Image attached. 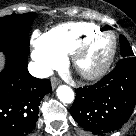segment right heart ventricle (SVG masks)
Instances as JSON below:
<instances>
[{"mask_svg": "<svg viewBox=\"0 0 136 136\" xmlns=\"http://www.w3.org/2000/svg\"><path fill=\"white\" fill-rule=\"evenodd\" d=\"M101 28L89 22H70L56 26L43 34L45 42L63 57L72 54L79 44Z\"/></svg>", "mask_w": 136, "mask_h": 136, "instance_id": "right-heart-ventricle-1", "label": "right heart ventricle"}]
</instances>
